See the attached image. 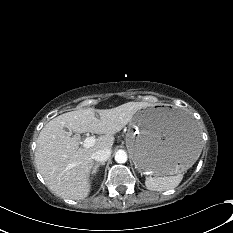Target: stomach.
<instances>
[{
  "mask_svg": "<svg viewBox=\"0 0 233 233\" xmlns=\"http://www.w3.org/2000/svg\"><path fill=\"white\" fill-rule=\"evenodd\" d=\"M126 146L141 172L167 175L187 169L201 151L196 123L182 109L146 107L129 124Z\"/></svg>",
  "mask_w": 233,
  "mask_h": 233,
  "instance_id": "0dacf381",
  "label": "stomach"
}]
</instances>
